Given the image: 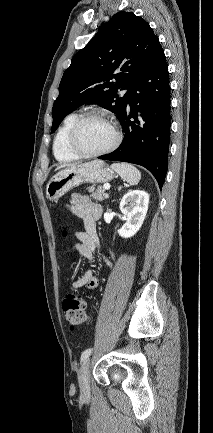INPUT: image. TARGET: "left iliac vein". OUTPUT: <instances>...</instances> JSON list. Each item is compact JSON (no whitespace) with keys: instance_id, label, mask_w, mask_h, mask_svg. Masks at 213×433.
Returning <instances> with one entry per match:
<instances>
[{"instance_id":"left-iliac-vein-1","label":"left iliac vein","mask_w":213,"mask_h":433,"mask_svg":"<svg viewBox=\"0 0 213 433\" xmlns=\"http://www.w3.org/2000/svg\"><path fill=\"white\" fill-rule=\"evenodd\" d=\"M89 366H90V359H85L83 362L79 373H78V382L80 387V392L83 397H86L90 393V387H89Z\"/></svg>"}]
</instances>
